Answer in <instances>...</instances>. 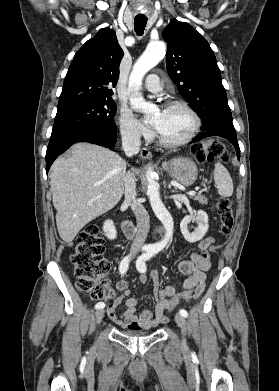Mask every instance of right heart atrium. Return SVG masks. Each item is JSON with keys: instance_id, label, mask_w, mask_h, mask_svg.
Instances as JSON below:
<instances>
[{"instance_id": "obj_1", "label": "right heart atrium", "mask_w": 279, "mask_h": 391, "mask_svg": "<svg viewBox=\"0 0 279 391\" xmlns=\"http://www.w3.org/2000/svg\"><path fill=\"white\" fill-rule=\"evenodd\" d=\"M119 125L122 136L129 141H139L142 138H148L151 135L149 127L140 122L128 110L121 111Z\"/></svg>"}]
</instances>
